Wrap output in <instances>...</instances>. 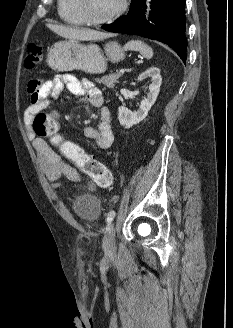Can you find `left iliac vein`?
Segmentation results:
<instances>
[{"label":"left iliac vein","mask_w":233,"mask_h":328,"mask_svg":"<svg viewBox=\"0 0 233 328\" xmlns=\"http://www.w3.org/2000/svg\"><path fill=\"white\" fill-rule=\"evenodd\" d=\"M103 249L105 255L111 256L115 253L116 241H115V227L110 224L106 230L105 236L103 238Z\"/></svg>","instance_id":"left-iliac-vein-1"}]
</instances>
